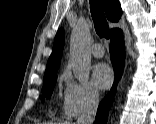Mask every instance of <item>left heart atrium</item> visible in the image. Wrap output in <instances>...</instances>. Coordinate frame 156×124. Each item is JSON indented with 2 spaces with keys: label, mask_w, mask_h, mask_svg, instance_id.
<instances>
[{
  "label": "left heart atrium",
  "mask_w": 156,
  "mask_h": 124,
  "mask_svg": "<svg viewBox=\"0 0 156 124\" xmlns=\"http://www.w3.org/2000/svg\"><path fill=\"white\" fill-rule=\"evenodd\" d=\"M93 80L96 86L102 90L109 88L113 81V72L105 63L97 64L93 69Z\"/></svg>",
  "instance_id": "1"
}]
</instances>
